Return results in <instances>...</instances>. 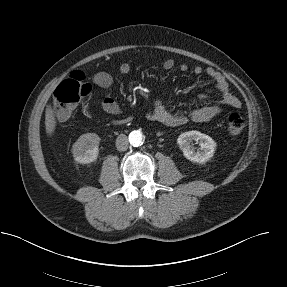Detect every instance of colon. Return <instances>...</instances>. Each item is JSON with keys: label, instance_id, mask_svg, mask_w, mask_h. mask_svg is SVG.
Listing matches in <instances>:
<instances>
[{"label": "colon", "instance_id": "5ec220e1", "mask_svg": "<svg viewBox=\"0 0 287 287\" xmlns=\"http://www.w3.org/2000/svg\"><path fill=\"white\" fill-rule=\"evenodd\" d=\"M92 92L82 72H74L61 82L53 95V106L59 120H67L77 104ZM245 127V119L239 113H230L226 118V129L230 135H238Z\"/></svg>", "mask_w": 287, "mask_h": 287}]
</instances>
